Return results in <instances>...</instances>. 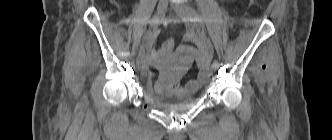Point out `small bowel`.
Returning a JSON list of instances; mask_svg holds the SVG:
<instances>
[{
    "label": "small bowel",
    "mask_w": 332,
    "mask_h": 140,
    "mask_svg": "<svg viewBox=\"0 0 332 140\" xmlns=\"http://www.w3.org/2000/svg\"><path fill=\"white\" fill-rule=\"evenodd\" d=\"M183 41L193 42L196 47L181 44L179 45L175 52L177 54L189 53L191 54L199 65V74L195 80L188 82L185 86H181L180 78L171 76L166 70L160 69L159 77L155 83V90L164 95H180L186 86H193L197 84H202L206 81L209 76V64L213 57V51L210 43L202 37H199L191 32L186 33L183 36ZM154 38L152 37L149 41L148 48H150V53L146 56L141 71L144 76H146L151 82V76L148 73V68L150 66L158 65L159 59L161 57L159 50L153 47Z\"/></svg>",
    "instance_id": "1"
}]
</instances>
